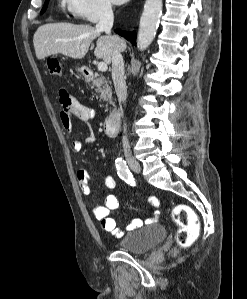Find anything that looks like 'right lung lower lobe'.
<instances>
[{"instance_id": "98d812e1", "label": "right lung lower lobe", "mask_w": 247, "mask_h": 299, "mask_svg": "<svg viewBox=\"0 0 247 299\" xmlns=\"http://www.w3.org/2000/svg\"><path fill=\"white\" fill-rule=\"evenodd\" d=\"M117 34L120 36L124 37L128 41H130L133 45L136 44V33L135 32H126V31H121L119 29L115 30Z\"/></svg>"}]
</instances>
